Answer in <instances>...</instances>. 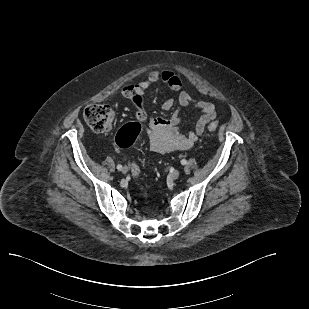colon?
<instances>
[{
  "label": "colon",
  "mask_w": 309,
  "mask_h": 309,
  "mask_svg": "<svg viewBox=\"0 0 309 309\" xmlns=\"http://www.w3.org/2000/svg\"><path fill=\"white\" fill-rule=\"evenodd\" d=\"M84 119L88 126L97 133H107L112 127V122L114 118L113 109L104 104H91L84 109L83 113ZM217 123H211L208 126V130L213 132L217 129ZM142 129L140 122H131L124 125L117 133L116 143L121 148L130 147ZM132 175L138 178L140 175V168L137 164H133Z\"/></svg>",
  "instance_id": "5ec220e1"
}]
</instances>
